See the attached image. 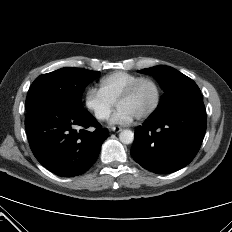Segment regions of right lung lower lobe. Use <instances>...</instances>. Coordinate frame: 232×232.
I'll return each mask as SVG.
<instances>
[{
	"label": "right lung lower lobe",
	"mask_w": 232,
	"mask_h": 232,
	"mask_svg": "<svg viewBox=\"0 0 232 232\" xmlns=\"http://www.w3.org/2000/svg\"><path fill=\"white\" fill-rule=\"evenodd\" d=\"M90 126L96 130L87 131ZM25 127L36 159L49 171L64 177L87 171L108 137V130L101 128L83 108L37 105L27 110Z\"/></svg>",
	"instance_id": "98d812e1"
}]
</instances>
